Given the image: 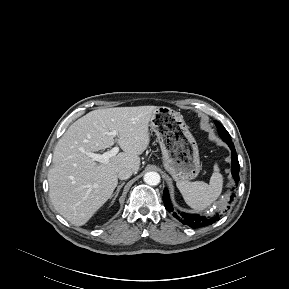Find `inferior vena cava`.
<instances>
[{"label":"inferior vena cava","mask_w":289,"mask_h":289,"mask_svg":"<svg viewBox=\"0 0 289 289\" xmlns=\"http://www.w3.org/2000/svg\"><path fill=\"white\" fill-rule=\"evenodd\" d=\"M132 174H133V170L132 169L124 168V169H121L118 172V178L120 180H126V179L130 178Z\"/></svg>","instance_id":"obj_1"}]
</instances>
